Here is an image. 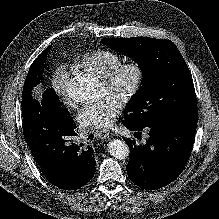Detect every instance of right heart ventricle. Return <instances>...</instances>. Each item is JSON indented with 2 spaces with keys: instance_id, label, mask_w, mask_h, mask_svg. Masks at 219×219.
<instances>
[{
  "instance_id": "1",
  "label": "right heart ventricle",
  "mask_w": 219,
  "mask_h": 219,
  "mask_svg": "<svg viewBox=\"0 0 219 219\" xmlns=\"http://www.w3.org/2000/svg\"><path fill=\"white\" fill-rule=\"evenodd\" d=\"M120 64V56L108 50H94L77 60L78 66L102 79Z\"/></svg>"
}]
</instances>
